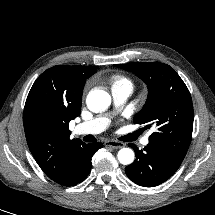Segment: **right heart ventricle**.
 Here are the masks:
<instances>
[{
	"label": "right heart ventricle",
	"mask_w": 215,
	"mask_h": 215,
	"mask_svg": "<svg viewBox=\"0 0 215 215\" xmlns=\"http://www.w3.org/2000/svg\"><path fill=\"white\" fill-rule=\"evenodd\" d=\"M109 81L111 83L112 89L119 87H130L131 89H133L132 81L124 75L120 74L112 75Z\"/></svg>",
	"instance_id": "1"
}]
</instances>
